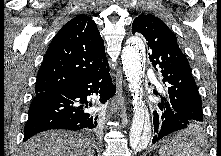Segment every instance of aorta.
I'll use <instances>...</instances> for the list:
<instances>
[{"label":"aorta","instance_id":"aorta-1","mask_svg":"<svg viewBox=\"0 0 221 156\" xmlns=\"http://www.w3.org/2000/svg\"><path fill=\"white\" fill-rule=\"evenodd\" d=\"M123 69L133 96V119L129 139L132 149L142 150L151 139L152 127L145 114L142 97V77L144 74V45L139 37H131L122 51Z\"/></svg>","mask_w":221,"mask_h":156}]
</instances>
